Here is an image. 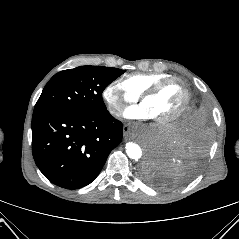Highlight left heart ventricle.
I'll use <instances>...</instances> for the list:
<instances>
[{
    "mask_svg": "<svg viewBox=\"0 0 239 239\" xmlns=\"http://www.w3.org/2000/svg\"><path fill=\"white\" fill-rule=\"evenodd\" d=\"M184 101V91L178 83H171L142 103L152 119H164L177 112Z\"/></svg>",
    "mask_w": 239,
    "mask_h": 239,
    "instance_id": "b2bd125f",
    "label": "left heart ventricle"
}]
</instances>
